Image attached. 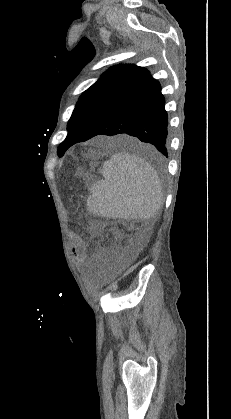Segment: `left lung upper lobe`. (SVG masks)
<instances>
[{
  "mask_svg": "<svg viewBox=\"0 0 231 419\" xmlns=\"http://www.w3.org/2000/svg\"><path fill=\"white\" fill-rule=\"evenodd\" d=\"M150 75L136 65H117L106 71L79 98L68 122V135L58 148V155L83 141L93 128L116 106L129 97Z\"/></svg>",
  "mask_w": 231,
  "mask_h": 419,
  "instance_id": "1",
  "label": "left lung upper lobe"
}]
</instances>
